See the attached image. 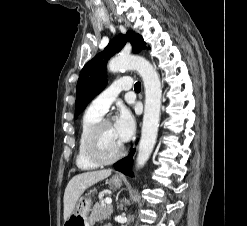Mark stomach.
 <instances>
[{
  "instance_id": "stomach-1",
  "label": "stomach",
  "mask_w": 247,
  "mask_h": 226,
  "mask_svg": "<svg viewBox=\"0 0 247 226\" xmlns=\"http://www.w3.org/2000/svg\"><path fill=\"white\" fill-rule=\"evenodd\" d=\"M108 184L112 188H119L122 185V179L116 176H113ZM92 201L88 196L80 197L77 202L73 212L69 218L64 222V226H90L91 222L89 221L88 214L91 208Z\"/></svg>"
}]
</instances>
